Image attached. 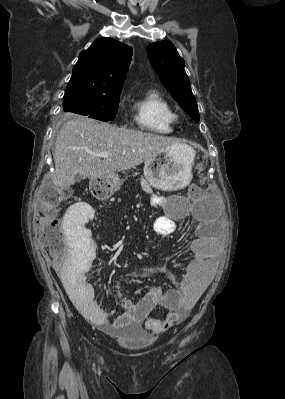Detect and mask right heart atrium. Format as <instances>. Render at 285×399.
<instances>
[{
    "mask_svg": "<svg viewBox=\"0 0 285 399\" xmlns=\"http://www.w3.org/2000/svg\"><path fill=\"white\" fill-rule=\"evenodd\" d=\"M125 99H126V98H123V99H122V102H123Z\"/></svg>",
    "mask_w": 285,
    "mask_h": 399,
    "instance_id": "d8ad5b80",
    "label": "right heart atrium"
}]
</instances>
